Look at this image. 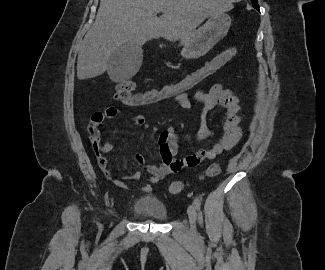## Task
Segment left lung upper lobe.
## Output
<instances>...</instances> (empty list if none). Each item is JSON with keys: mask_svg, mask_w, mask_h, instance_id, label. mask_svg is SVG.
Listing matches in <instances>:
<instances>
[{"mask_svg": "<svg viewBox=\"0 0 325 270\" xmlns=\"http://www.w3.org/2000/svg\"><path fill=\"white\" fill-rule=\"evenodd\" d=\"M251 2L253 3L254 8L259 9L258 0H251Z\"/></svg>", "mask_w": 325, "mask_h": 270, "instance_id": "obj_1", "label": "left lung upper lobe"}]
</instances>
